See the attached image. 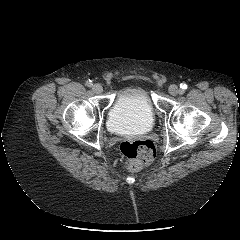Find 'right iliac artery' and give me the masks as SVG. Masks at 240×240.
<instances>
[{
    "mask_svg": "<svg viewBox=\"0 0 240 240\" xmlns=\"http://www.w3.org/2000/svg\"><path fill=\"white\" fill-rule=\"evenodd\" d=\"M86 85L88 86V87H91L93 84H92V81L91 80H89V81H87L86 82Z\"/></svg>",
    "mask_w": 240,
    "mask_h": 240,
    "instance_id": "1",
    "label": "right iliac artery"
}]
</instances>
